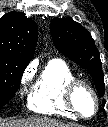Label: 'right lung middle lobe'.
<instances>
[{
	"mask_svg": "<svg viewBox=\"0 0 108 127\" xmlns=\"http://www.w3.org/2000/svg\"><path fill=\"white\" fill-rule=\"evenodd\" d=\"M28 63L0 55V103H7L19 89Z\"/></svg>",
	"mask_w": 108,
	"mask_h": 127,
	"instance_id": "right-lung-middle-lobe-1",
	"label": "right lung middle lobe"
}]
</instances>
